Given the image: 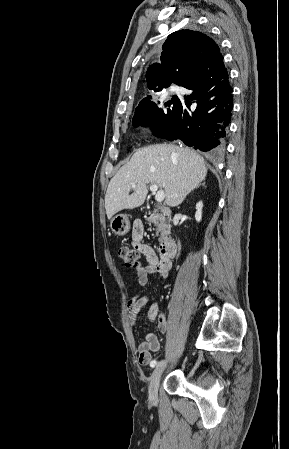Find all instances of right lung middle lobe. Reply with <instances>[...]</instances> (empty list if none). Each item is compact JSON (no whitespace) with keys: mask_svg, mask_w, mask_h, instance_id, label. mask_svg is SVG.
<instances>
[{"mask_svg":"<svg viewBox=\"0 0 289 449\" xmlns=\"http://www.w3.org/2000/svg\"><path fill=\"white\" fill-rule=\"evenodd\" d=\"M178 98L174 96L165 105H172V109H163L154 102L152 98H146L141 101L136 108L135 115L132 119L133 126L150 125L154 135H159L171 122Z\"/></svg>","mask_w":289,"mask_h":449,"instance_id":"dd1d6c3e","label":"right lung middle lobe"}]
</instances>
